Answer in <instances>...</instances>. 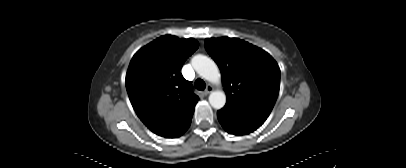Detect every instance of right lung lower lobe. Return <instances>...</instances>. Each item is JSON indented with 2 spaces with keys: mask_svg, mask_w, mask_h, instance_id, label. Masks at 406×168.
Returning a JSON list of instances; mask_svg holds the SVG:
<instances>
[{
  "mask_svg": "<svg viewBox=\"0 0 406 168\" xmlns=\"http://www.w3.org/2000/svg\"><path fill=\"white\" fill-rule=\"evenodd\" d=\"M191 120L192 117L184 125H182L174 134H172V137L170 138H175L182 135L189 128Z\"/></svg>",
  "mask_w": 406,
  "mask_h": 168,
  "instance_id": "1",
  "label": "right lung lower lobe"
}]
</instances>
